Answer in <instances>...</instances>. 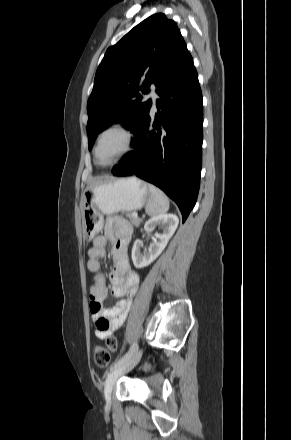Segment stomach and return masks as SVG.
<instances>
[{
    "instance_id": "obj_1",
    "label": "stomach",
    "mask_w": 291,
    "mask_h": 440,
    "mask_svg": "<svg viewBox=\"0 0 291 440\" xmlns=\"http://www.w3.org/2000/svg\"><path fill=\"white\" fill-rule=\"evenodd\" d=\"M150 199L147 184L136 177L99 182L83 193V227L86 238H93L103 227V215L141 209Z\"/></svg>"
}]
</instances>
